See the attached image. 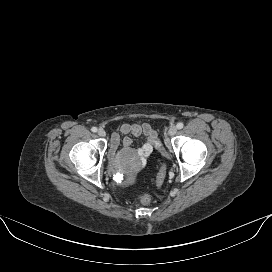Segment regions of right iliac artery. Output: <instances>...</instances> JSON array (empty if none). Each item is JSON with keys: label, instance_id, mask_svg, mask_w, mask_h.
Wrapping results in <instances>:
<instances>
[{"label": "right iliac artery", "instance_id": "obj_1", "mask_svg": "<svg viewBox=\"0 0 272 272\" xmlns=\"http://www.w3.org/2000/svg\"><path fill=\"white\" fill-rule=\"evenodd\" d=\"M91 131L92 132H97V128L96 127H92Z\"/></svg>", "mask_w": 272, "mask_h": 272}]
</instances>
